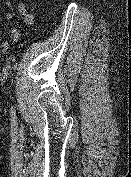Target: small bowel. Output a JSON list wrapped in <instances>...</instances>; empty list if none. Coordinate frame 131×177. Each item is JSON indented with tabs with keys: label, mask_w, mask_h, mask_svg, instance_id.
Masks as SVG:
<instances>
[{
	"label": "small bowel",
	"mask_w": 131,
	"mask_h": 177,
	"mask_svg": "<svg viewBox=\"0 0 131 177\" xmlns=\"http://www.w3.org/2000/svg\"><path fill=\"white\" fill-rule=\"evenodd\" d=\"M31 4H33L35 2V0H28ZM18 11L23 19V21L27 24V25H33L36 21L35 16L33 14H31L28 10L27 7L24 3H19L18 4ZM3 17L6 20H10L12 18V13L9 11H4L3 13ZM10 34L13 38H18L19 34L15 29H11L10 30ZM9 49V45L7 42H2L0 44V50L5 53L7 52Z\"/></svg>",
	"instance_id": "small-bowel-1"
}]
</instances>
